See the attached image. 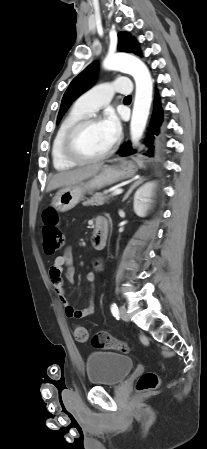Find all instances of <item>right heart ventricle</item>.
Listing matches in <instances>:
<instances>
[{"mask_svg": "<svg viewBox=\"0 0 207 449\" xmlns=\"http://www.w3.org/2000/svg\"><path fill=\"white\" fill-rule=\"evenodd\" d=\"M87 115L88 113L80 110L75 105L62 120L57 132L54 135L51 147L52 163L56 170H67L76 164L64 157L61 150L62 140L67 129L77 120L86 117Z\"/></svg>", "mask_w": 207, "mask_h": 449, "instance_id": "right-heart-ventricle-1", "label": "right heart ventricle"}]
</instances>
